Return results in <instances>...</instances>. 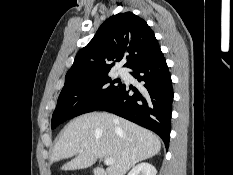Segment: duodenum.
I'll return each mask as SVG.
<instances>
[{"label":"duodenum","mask_w":233,"mask_h":175,"mask_svg":"<svg viewBox=\"0 0 233 175\" xmlns=\"http://www.w3.org/2000/svg\"><path fill=\"white\" fill-rule=\"evenodd\" d=\"M95 175H108L107 172L102 168L95 169Z\"/></svg>","instance_id":"obj_1"}]
</instances>
